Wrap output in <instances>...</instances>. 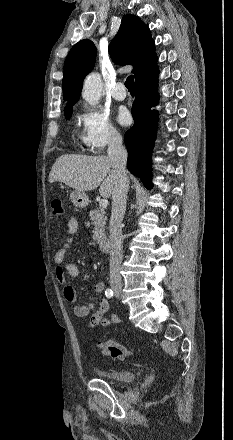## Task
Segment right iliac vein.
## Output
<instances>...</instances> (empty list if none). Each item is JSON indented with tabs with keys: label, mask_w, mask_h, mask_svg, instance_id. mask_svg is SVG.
Masks as SVG:
<instances>
[{
	"label": "right iliac vein",
	"mask_w": 233,
	"mask_h": 440,
	"mask_svg": "<svg viewBox=\"0 0 233 440\" xmlns=\"http://www.w3.org/2000/svg\"><path fill=\"white\" fill-rule=\"evenodd\" d=\"M112 290L114 291L117 297L121 296V287L119 285H112Z\"/></svg>",
	"instance_id": "right-iliac-vein-1"
}]
</instances>
